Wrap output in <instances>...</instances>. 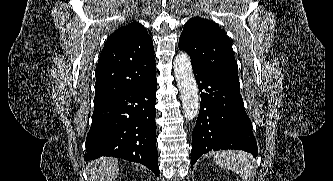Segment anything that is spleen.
Instances as JSON below:
<instances>
[{
  "label": "spleen",
  "mask_w": 333,
  "mask_h": 181,
  "mask_svg": "<svg viewBox=\"0 0 333 181\" xmlns=\"http://www.w3.org/2000/svg\"><path fill=\"white\" fill-rule=\"evenodd\" d=\"M213 161L220 167L233 170L244 181H252L254 167L249 158L240 151L226 150L214 155Z\"/></svg>",
  "instance_id": "3e777b00"
}]
</instances>
